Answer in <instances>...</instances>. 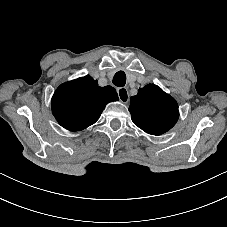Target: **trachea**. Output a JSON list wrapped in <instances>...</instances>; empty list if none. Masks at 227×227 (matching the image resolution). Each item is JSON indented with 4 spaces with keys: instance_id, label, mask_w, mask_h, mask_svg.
I'll use <instances>...</instances> for the list:
<instances>
[{
    "instance_id": "1",
    "label": "trachea",
    "mask_w": 227,
    "mask_h": 227,
    "mask_svg": "<svg viewBox=\"0 0 227 227\" xmlns=\"http://www.w3.org/2000/svg\"><path fill=\"white\" fill-rule=\"evenodd\" d=\"M113 84L118 87H123L126 84V74L123 71H118L113 77Z\"/></svg>"
}]
</instances>
